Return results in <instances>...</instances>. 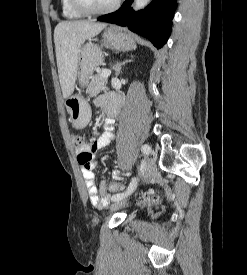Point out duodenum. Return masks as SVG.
I'll use <instances>...</instances> for the list:
<instances>
[{"label":"duodenum","mask_w":247,"mask_h":275,"mask_svg":"<svg viewBox=\"0 0 247 275\" xmlns=\"http://www.w3.org/2000/svg\"><path fill=\"white\" fill-rule=\"evenodd\" d=\"M115 111V109L110 108V113H113Z\"/></svg>","instance_id":"1"}]
</instances>
